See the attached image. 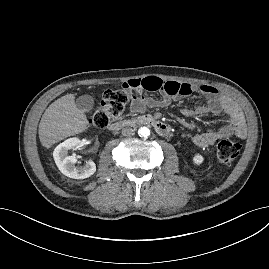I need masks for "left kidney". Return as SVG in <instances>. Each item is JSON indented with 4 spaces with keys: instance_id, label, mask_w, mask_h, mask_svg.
Instances as JSON below:
<instances>
[{
    "instance_id": "1",
    "label": "left kidney",
    "mask_w": 269,
    "mask_h": 269,
    "mask_svg": "<svg viewBox=\"0 0 269 269\" xmlns=\"http://www.w3.org/2000/svg\"><path fill=\"white\" fill-rule=\"evenodd\" d=\"M192 161L195 165H200L204 161V158L200 154H195L192 158Z\"/></svg>"
}]
</instances>
